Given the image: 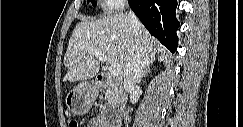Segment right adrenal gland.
Wrapping results in <instances>:
<instances>
[{
    "instance_id": "2a0ac1e0",
    "label": "right adrenal gland",
    "mask_w": 243,
    "mask_h": 127,
    "mask_svg": "<svg viewBox=\"0 0 243 127\" xmlns=\"http://www.w3.org/2000/svg\"><path fill=\"white\" fill-rule=\"evenodd\" d=\"M148 73H151V69H150L149 64L143 68V70H142V72H141V75H140V78H139L138 82L140 83L141 80H142V78L145 77L146 74H148Z\"/></svg>"
}]
</instances>
